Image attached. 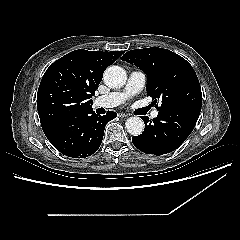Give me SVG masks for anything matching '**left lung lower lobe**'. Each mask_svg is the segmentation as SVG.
Returning a JSON list of instances; mask_svg holds the SVG:
<instances>
[{"label": "left lung lower lobe", "instance_id": "0a47b994", "mask_svg": "<svg viewBox=\"0 0 240 240\" xmlns=\"http://www.w3.org/2000/svg\"><path fill=\"white\" fill-rule=\"evenodd\" d=\"M201 108H184L158 112L152 121L143 117L144 132L132 137L136 148L146 154L163 155L178 148L190 135L198 120Z\"/></svg>", "mask_w": 240, "mask_h": 240}]
</instances>
